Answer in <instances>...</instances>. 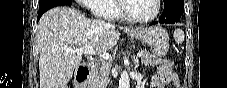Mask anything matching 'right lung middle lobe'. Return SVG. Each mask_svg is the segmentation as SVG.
Here are the masks:
<instances>
[{"instance_id":"obj_1","label":"right lung middle lobe","mask_w":227,"mask_h":88,"mask_svg":"<svg viewBox=\"0 0 227 88\" xmlns=\"http://www.w3.org/2000/svg\"><path fill=\"white\" fill-rule=\"evenodd\" d=\"M72 0H39V10H48L59 5L71 6Z\"/></svg>"}]
</instances>
